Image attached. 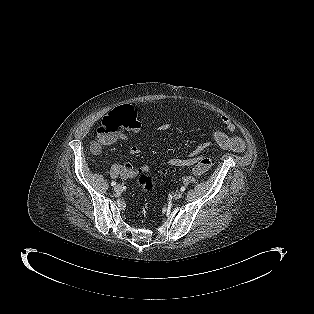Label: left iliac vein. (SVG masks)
Here are the masks:
<instances>
[{"mask_svg": "<svg viewBox=\"0 0 314 314\" xmlns=\"http://www.w3.org/2000/svg\"><path fill=\"white\" fill-rule=\"evenodd\" d=\"M183 193L182 191H177L173 194L174 199H180L182 197Z\"/></svg>", "mask_w": 314, "mask_h": 314, "instance_id": "1", "label": "left iliac vein"}]
</instances>
